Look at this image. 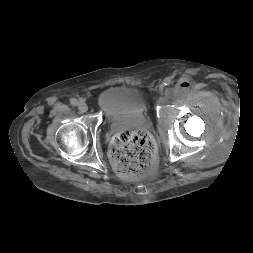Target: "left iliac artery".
I'll return each instance as SVG.
<instances>
[{"instance_id": "obj_1", "label": "left iliac artery", "mask_w": 253, "mask_h": 253, "mask_svg": "<svg viewBox=\"0 0 253 253\" xmlns=\"http://www.w3.org/2000/svg\"><path fill=\"white\" fill-rule=\"evenodd\" d=\"M172 80L171 78L167 77L164 79L163 84L166 86H169L171 84Z\"/></svg>"}]
</instances>
